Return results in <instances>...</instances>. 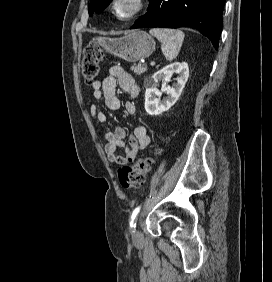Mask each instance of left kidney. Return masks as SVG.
I'll return each instance as SVG.
<instances>
[{
  "instance_id": "5707ae66",
  "label": "left kidney",
  "mask_w": 272,
  "mask_h": 282,
  "mask_svg": "<svg viewBox=\"0 0 272 282\" xmlns=\"http://www.w3.org/2000/svg\"><path fill=\"white\" fill-rule=\"evenodd\" d=\"M178 74L176 83L170 87L167 85L171 81L173 74ZM189 77V67L186 62H175L169 64L153 74L145 81V110L149 115H160L169 110L180 97L183 88ZM162 82L161 90L157 89L158 83ZM162 93L167 97L161 100Z\"/></svg>"
}]
</instances>
